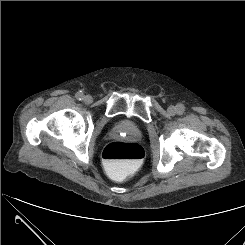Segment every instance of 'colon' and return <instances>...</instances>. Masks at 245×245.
<instances>
[{
	"instance_id": "5ec220e1",
	"label": "colon",
	"mask_w": 245,
	"mask_h": 245,
	"mask_svg": "<svg viewBox=\"0 0 245 245\" xmlns=\"http://www.w3.org/2000/svg\"><path fill=\"white\" fill-rule=\"evenodd\" d=\"M144 156V149L136 143L111 142L103 150L105 168L119 180L125 177L127 169L140 165Z\"/></svg>"
}]
</instances>
